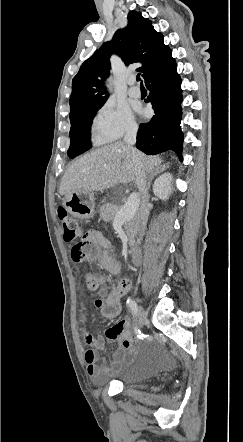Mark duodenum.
<instances>
[{
  "instance_id": "1",
  "label": "duodenum",
  "mask_w": 243,
  "mask_h": 442,
  "mask_svg": "<svg viewBox=\"0 0 243 442\" xmlns=\"http://www.w3.org/2000/svg\"><path fill=\"white\" fill-rule=\"evenodd\" d=\"M130 260L133 264H139L141 261V254L140 251L136 248H133L129 252Z\"/></svg>"
}]
</instances>
